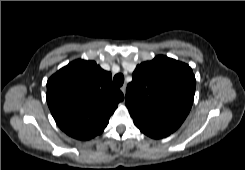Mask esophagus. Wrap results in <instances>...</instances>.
Here are the masks:
<instances>
[{
    "instance_id": "obj_1",
    "label": "esophagus",
    "mask_w": 245,
    "mask_h": 170,
    "mask_svg": "<svg viewBox=\"0 0 245 170\" xmlns=\"http://www.w3.org/2000/svg\"><path fill=\"white\" fill-rule=\"evenodd\" d=\"M122 93L125 95L126 93V85H123L121 88Z\"/></svg>"
}]
</instances>
